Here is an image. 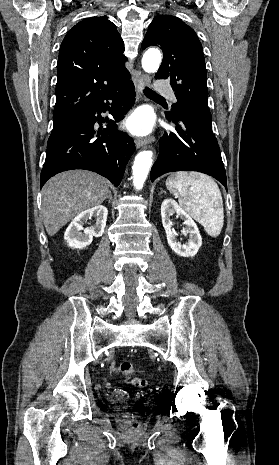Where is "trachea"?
Returning <instances> with one entry per match:
<instances>
[{
    "label": "trachea",
    "instance_id": "3493384b",
    "mask_svg": "<svg viewBox=\"0 0 279 465\" xmlns=\"http://www.w3.org/2000/svg\"><path fill=\"white\" fill-rule=\"evenodd\" d=\"M144 93H145V95L148 96V97L162 99V97H161L160 95H158L156 92H154L153 90H151V89H149V88H145V89H144Z\"/></svg>",
    "mask_w": 279,
    "mask_h": 465
}]
</instances>
